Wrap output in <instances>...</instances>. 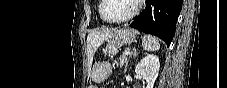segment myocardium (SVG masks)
Segmentation results:
<instances>
[{"instance_id":"1","label":"myocardium","mask_w":227,"mask_h":88,"mask_svg":"<svg viewBox=\"0 0 227 88\" xmlns=\"http://www.w3.org/2000/svg\"><path fill=\"white\" fill-rule=\"evenodd\" d=\"M107 0H101L100 1V7H99V15L100 18L105 22V23H109V24H122L125 22H128L129 20H131L134 16H136V14L139 12L140 8H141V2L142 0H134L135 1V8L134 10L128 14L127 16L120 18V19H116V20H110L107 19L104 14H103V8L106 4Z\"/></svg>"}]
</instances>
